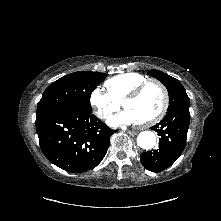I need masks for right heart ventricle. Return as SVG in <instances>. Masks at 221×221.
Segmentation results:
<instances>
[{"label":"right heart ventricle","mask_w":221,"mask_h":221,"mask_svg":"<svg viewBox=\"0 0 221 221\" xmlns=\"http://www.w3.org/2000/svg\"><path fill=\"white\" fill-rule=\"evenodd\" d=\"M147 78L139 73L128 72L116 75L105 81L108 94L117 102H121L136 86Z\"/></svg>","instance_id":"1"}]
</instances>
